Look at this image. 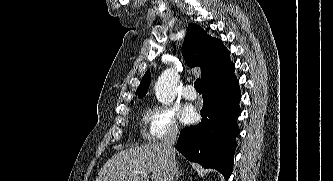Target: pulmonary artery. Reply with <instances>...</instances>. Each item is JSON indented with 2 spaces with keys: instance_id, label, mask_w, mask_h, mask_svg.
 I'll return each mask as SVG.
<instances>
[{
  "instance_id": "1",
  "label": "pulmonary artery",
  "mask_w": 333,
  "mask_h": 181,
  "mask_svg": "<svg viewBox=\"0 0 333 181\" xmlns=\"http://www.w3.org/2000/svg\"><path fill=\"white\" fill-rule=\"evenodd\" d=\"M182 95L187 100H195L197 98V93L192 85L185 86Z\"/></svg>"
}]
</instances>
